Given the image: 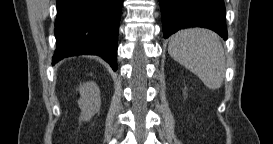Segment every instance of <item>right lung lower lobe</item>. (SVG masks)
Returning a JSON list of instances; mask_svg holds the SVG:
<instances>
[{
	"label": "right lung lower lobe",
	"mask_w": 273,
	"mask_h": 144,
	"mask_svg": "<svg viewBox=\"0 0 273 144\" xmlns=\"http://www.w3.org/2000/svg\"><path fill=\"white\" fill-rule=\"evenodd\" d=\"M122 3L123 0H57L52 64L74 55L93 54L116 71Z\"/></svg>",
	"instance_id": "1"
}]
</instances>
